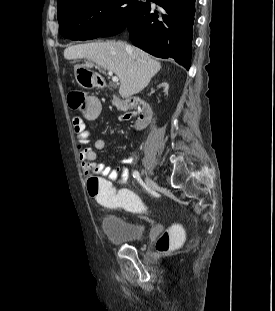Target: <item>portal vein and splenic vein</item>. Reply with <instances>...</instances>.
Masks as SVG:
<instances>
[{
    "label": "portal vein and splenic vein",
    "mask_w": 275,
    "mask_h": 311,
    "mask_svg": "<svg viewBox=\"0 0 275 311\" xmlns=\"http://www.w3.org/2000/svg\"><path fill=\"white\" fill-rule=\"evenodd\" d=\"M108 74L112 77V81H113L114 83H117V82H118V77H117V76H113L112 71H108Z\"/></svg>",
    "instance_id": "portal-vein-and-splenic-vein-1"
}]
</instances>
